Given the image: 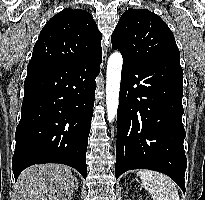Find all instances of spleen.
I'll list each match as a JSON object with an SVG mask.
<instances>
[{"instance_id": "spleen-1", "label": "spleen", "mask_w": 205, "mask_h": 200, "mask_svg": "<svg viewBox=\"0 0 205 200\" xmlns=\"http://www.w3.org/2000/svg\"><path fill=\"white\" fill-rule=\"evenodd\" d=\"M137 176L153 200H180L174 182L167 175L143 169L138 171Z\"/></svg>"}]
</instances>
